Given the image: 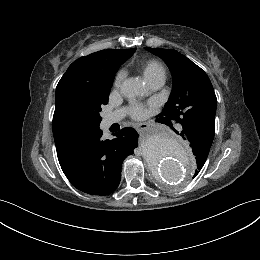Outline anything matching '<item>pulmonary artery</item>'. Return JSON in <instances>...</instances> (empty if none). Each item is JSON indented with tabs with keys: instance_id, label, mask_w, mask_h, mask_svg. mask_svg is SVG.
<instances>
[{
	"instance_id": "pulmonary-artery-1",
	"label": "pulmonary artery",
	"mask_w": 260,
	"mask_h": 260,
	"mask_svg": "<svg viewBox=\"0 0 260 260\" xmlns=\"http://www.w3.org/2000/svg\"><path fill=\"white\" fill-rule=\"evenodd\" d=\"M163 83H164V79L158 78V79H155V80H152L151 82H149V87L152 90H155V89L160 88L163 85ZM122 116H123V112L122 111H116V112H114L112 114L107 115L104 118V123H105V125H111V124L121 120ZM178 128L180 129L181 127L178 126Z\"/></svg>"
}]
</instances>
